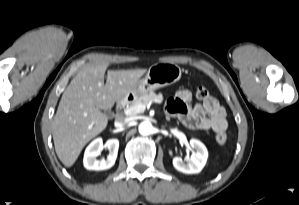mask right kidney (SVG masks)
<instances>
[{"label":"right kidney","instance_id":"1","mask_svg":"<svg viewBox=\"0 0 299 205\" xmlns=\"http://www.w3.org/2000/svg\"><path fill=\"white\" fill-rule=\"evenodd\" d=\"M107 148L109 154L106 159L97 160V156L101 151ZM119 148V141L117 139H109L103 145L102 138L93 140L85 150L83 164L88 170H105L111 168L115 164Z\"/></svg>","mask_w":299,"mask_h":205}]
</instances>
